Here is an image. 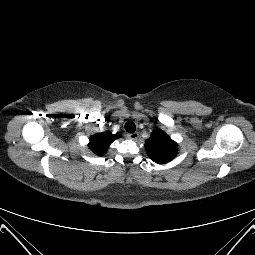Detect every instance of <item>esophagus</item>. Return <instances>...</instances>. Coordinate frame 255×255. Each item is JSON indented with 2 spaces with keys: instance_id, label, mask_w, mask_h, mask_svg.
Masks as SVG:
<instances>
[{
  "instance_id": "1",
  "label": "esophagus",
  "mask_w": 255,
  "mask_h": 255,
  "mask_svg": "<svg viewBox=\"0 0 255 255\" xmlns=\"http://www.w3.org/2000/svg\"><path fill=\"white\" fill-rule=\"evenodd\" d=\"M139 137V133L138 132H134V133H129L127 134V138L131 139V140H137Z\"/></svg>"
}]
</instances>
